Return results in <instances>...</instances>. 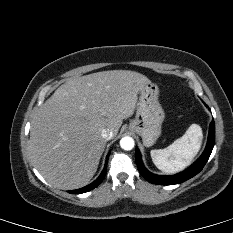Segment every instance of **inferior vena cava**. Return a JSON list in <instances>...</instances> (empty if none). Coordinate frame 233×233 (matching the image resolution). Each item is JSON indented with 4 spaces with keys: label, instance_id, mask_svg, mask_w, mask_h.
Instances as JSON below:
<instances>
[{
    "label": "inferior vena cava",
    "instance_id": "1",
    "mask_svg": "<svg viewBox=\"0 0 233 233\" xmlns=\"http://www.w3.org/2000/svg\"><path fill=\"white\" fill-rule=\"evenodd\" d=\"M101 136L105 140H110L113 137V132L110 129L105 128L101 131Z\"/></svg>",
    "mask_w": 233,
    "mask_h": 233
}]
</instances>
